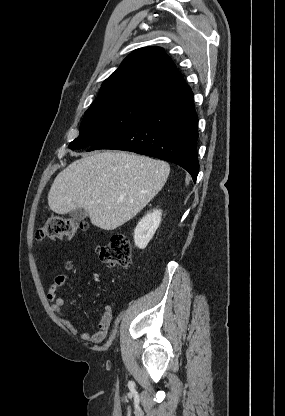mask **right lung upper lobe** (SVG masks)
Here are the masks:
<instances>
[{"mask_svg":"<svg viewBox=\"0 0 285 416\" xmlns=\"http://www.w3.org/2000/svg\"><path fill=\"white\" fill-rule=\"evenodd\" d=\"M129 95L144 98L162 108L193 98L191 88L160 47L133 51L103 82L93 104Z\"/></svg>","mask_w":285,"mask_h":416,"instance_id":"1","label":"right lung upper lobe"}]
</instances>
